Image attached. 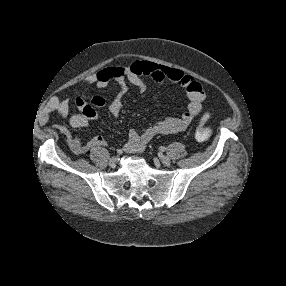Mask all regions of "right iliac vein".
Listing matches in <instances>:
<instances>
[{
    "mask_svg": "<svg viewBox=\"0 0 286 286\" xmlns=\"http://www.w3.org/2000/svg\"><path fill=\"white\" fill-rule=\"evenodd\" d=\"M116 163H117V158L116 157H112V158H110V160H109V165L111 166V167H115L116 166Z\"/></svg>",
    "mask_w": 286,
    "mask_h": 286,
    "instance_id": "63e3f726",
    "label": "right iliac vein"
}]
</instances>
